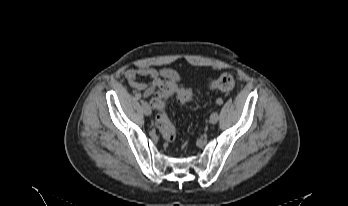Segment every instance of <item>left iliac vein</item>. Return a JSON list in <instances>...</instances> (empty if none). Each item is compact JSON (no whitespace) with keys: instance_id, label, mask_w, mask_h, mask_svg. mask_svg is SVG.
I'll return each instance as SVG.
<instances>
[{"instance_id":"obj_1","label":"left iliac vein","mask_w":348,"mask_h":206,"mask_svg":"<svg viewBox=\"0 0 348 206\" xmlns=\"http://www.w3.org/2000/svg\"><path fill=\"white\" fill-rule=\"evenodd\" d=\"M219 119V115L217 112H213L210 116V123L211 124H216Z\"/></svg>"}]
</instances>
